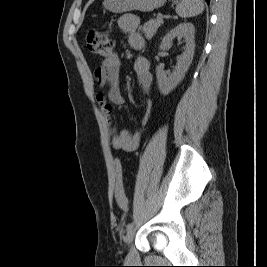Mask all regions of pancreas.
Here are the masks:
<instances>
[{
  "label": "pancreas",
  "instance_id": "1",
  "mask_svg": "<svg viewBox=\"0 0 267 267\" xmlns=\"http://www.w3.org/2000/svg\"><path fill=\"white\" fill-rule=\"evenodd\" d=\"M162 24L163 19H151L146 22L142 27V31L145 34L146 39H151Z\"/></svg>",
  "mask_w": 267,
  "mask_h": 267
}]
</instances>
